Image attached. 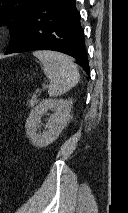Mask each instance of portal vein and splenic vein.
Returning <instances> with one entry per match:
<instances>
[{
    "instance_id": "1",
    "label": "portal vein and splenic vein",
    "mask_w": 128,
    "mask_h": 213,
    "mask_svg": "<svg viewBox=\"0 0 128 213\" xmlns=\"http://www.w3.org/2000/svg\"><path fill=\"white\" fill-rule=\"evenodd\" d=\"M33 97H36V94H35V93L33 94Z\"/></svg>"
}]
</instances>
